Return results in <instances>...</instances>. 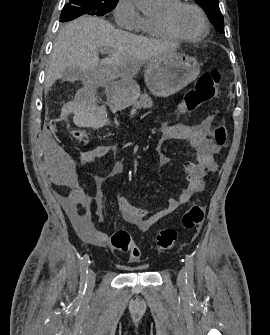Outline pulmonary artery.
Wrapping results in <instances>:
<instances>
[{
  "instance_id": "pulmonary-artery-1",
  "label": "pulmonary artery",
  "mask_w": 270,
  "mask_h": 335,
  "mask_svg": "<svg viewBox=\"0 0 270 335\" xmlns=\"http://www.w3.org/2000/svg\"><path fill=\"white\" fill-rule=\"evenodd\" d=\"M161 2H173V1H176V0H160Z\"/></svg>"
}]
</instances>
